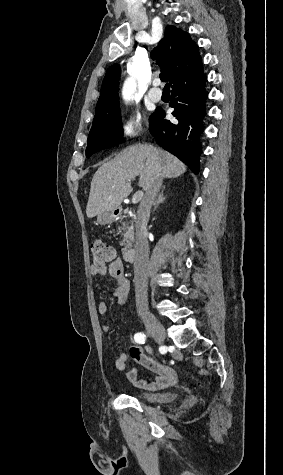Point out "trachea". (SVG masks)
I'll return each mask as SVG.
<instances>
[{
	"instance_id": "3493384b",
	"label": "trachea",
	"mask_w": 283,
	"mask_h": 475,
	"mask_svg": "<svg viewBox=\"0 0 283 475\" xmlns=\"http://www.w3.org/2000/svg\"><path fill=\"white\" fill-rule=\"evenodd\" d=\"M163 92H170V85L169 83H166V85L163 88Z\"/></svg>"
}]
</instances>
